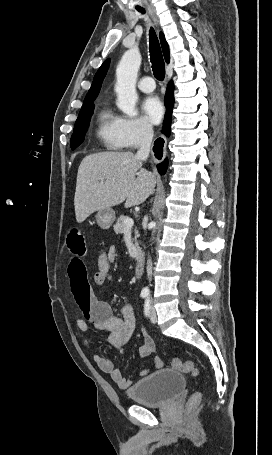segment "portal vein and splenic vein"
I'll return each mask as SVG.
<instances>
[{"mask_svg": "<svg viewBox=\"0 0 272 455\" xmlns=\"http://www.w3.org/2000/svg\"><path fill=\"white\" fill-rule=\"evenodd\" d=\"M125 229L129 230L133 227L134 221L131 218H126L124 221Z\"/></svg>", "mask_w": 272, "mask_h": 455, "instance_id": "portal-vein-and-splenic-vein-1", "label": "portal vein and splenic vein"}]
</instances>
